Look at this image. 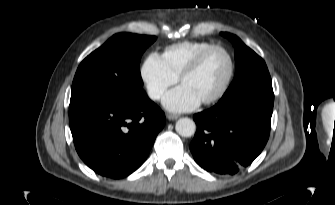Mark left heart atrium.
<instances>
[{
    "label": "left heart atrium",
    "mask_w": 335,
    "mask_h": 205,
    "mask_svg": "<svg viewBox=\"0 0 335 205\" xmlns=\"http://www.w3.org/2000/svg\"><path fill=\"white\" fill-rule=\"evenodd\" d=\"M200 99L185 85H180L166 94L163 105L176 112L188 111L200 104Z\"/></svg>",
    "instance_id": "left-heart-atrium-1"
}]
</instances>
